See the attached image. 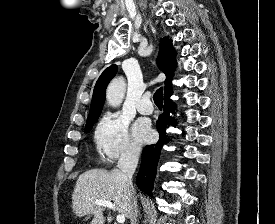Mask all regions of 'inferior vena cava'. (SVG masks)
I'll use <instances>...</instances> for the list:
<instances>
[{"label": "inferior vena cava", "instance_id": "1", "mask_svg": "<svg viewBox=\"0 0 275 224\" xmlns=\"http://www.w3.org/2000/svg\"><path fill=\"white\" fill-rule=\"evenodd\" d=\"M139 154L140 149L128 147L122 151L117 165L121 171V177L128 192L131 224H137V200L132 184V176L138 164Z\"/></svg>", "mask_w": 275, "mask_h": 224}]
</instances>
